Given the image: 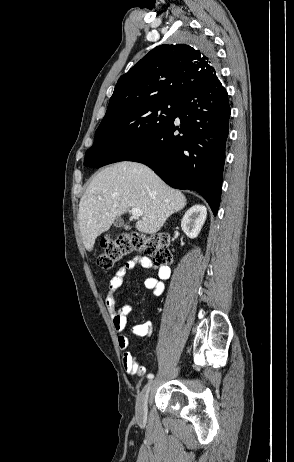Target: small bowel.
<instances>
[{"label": "small bowel", "instance_id": "small-bowel-1", "mask_svg": "<svg viewBox=\"0 0 294 462\" xmlns=\"http://www.w3.org/2000/svg\"><path fill=\"white\" fill-rule=\"evenodd\" d=\"M146 269L154 268L157 271V277H149L145 280V287L150 289L155 296H160L164 292V280L170 276L171 270L167 265H157L148 257H135L120 267L114 276L108 281V288L105 294V305L111 316L115 332L118 337L119 348L123 351L122 363L126 373L130 375L146 376V369L139 357L134 356L129 350V338L126 334L127 316L132 308L125 304L120 308L117 307L116 293L122 286L127 272L134 270L136 267ZM153 326L149 321L142 322L131 328V333L137 337H148L152 334Z\"/></svg>", "mask_w": 294, "mask_h": 462}]
</instances>
